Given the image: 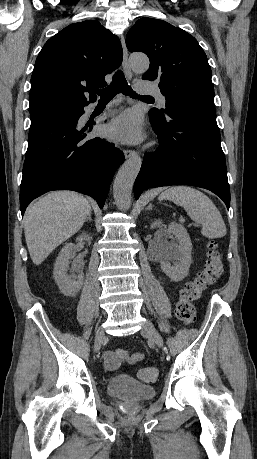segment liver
Returning <instances> with one entry per match:
<instances>
[{
    "label": "liver",
    "instance_id": "obj_1",
    "mask_svg": "<svg viewBox=\"0 0 257 459\" xmlns=\"http://www.w3.org/2000/svg\"><path fill=\"white\" fill-rule=\"evenodd\" d=\"M90 213L87 199L70 191L49 193L30 206L24 216V233L33 263L41 264L77 233Z\"/></svg>",
    "mask_w": 257,
    "mask_h": 459
}]
</instances>
